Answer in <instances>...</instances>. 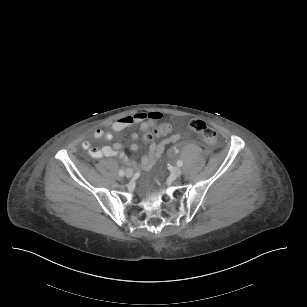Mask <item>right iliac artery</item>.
<instances>
[{
  "mask_svg": "<svg viewBox=\"0 0 307 307\" xmlns=\"http://www.w3.org/2000/svg\"><path fill=\"white\" fill-rule=\"evenodd\" d=\"M119 175L120 176H124L125 175V171L124 170H119Z\"/></svg>",
  "mask_w": 307,
  "mask_h": 307,
  "instance_id": "right-iliac-artery-1",
  "label": "right iliac artery"
}]
</instances>
